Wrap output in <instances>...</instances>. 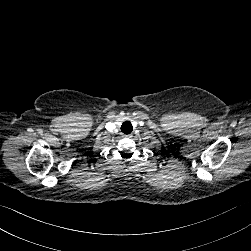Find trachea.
Here are the masks:
<instances>
[{"label": "trachea", "instance_id": "1", "mask_svg": "<svg viewBox=\"0 0 251 251\" xmlns=\"http://www.w3.org/2000/svg\"><path fill=\"white\" fill-rule=\"evenodd\" d=\"M132 130L133 128L130 122H124L121 126V131L125 134H130Z\"/></svg>", "mask_w": 251, "mask_h": 251}]
</instances>
